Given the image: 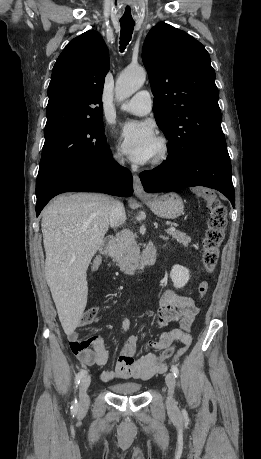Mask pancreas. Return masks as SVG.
Returning <instances> with one entry per match:
<instances>
[{
	"label": "pancreas",
	"mask_w": 261,
	"mask_h": 459,
	"mask_svg": "<svg viewBox=\"0 0 261 459\" xmlns=\"http://www.w3.org/2000/svg\"><path fill=\"white\" fill-rule=\"evenodd\" d=\"M170 236L184 246H188L191 237L178 230H167ZM113 256L117 259L121 269H126L137 258L139 248L135 241V235L130 231H123L116 236Z\"/></svg>",
	"instance_id": "obj_1"
}]
</instances>
